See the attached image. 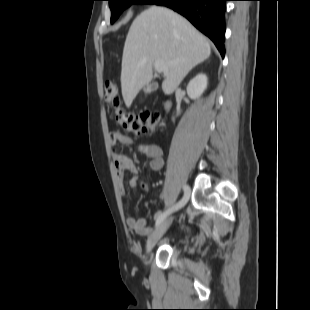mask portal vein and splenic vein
<instances>
[{"mask_svg":"<svg viewBox=\"0 0 310 310\" xmlns=\"http://www.w3.org/2000/svg\"><path fill=\"white\" fill-rule=\"evenodd\" d=\"M155 70L159 73H165L168 70V65L164 61H156L154 63Z\"/></svg>","mask_w":310,"mask_h":310,"instance_id":"1","label":"portal vein and splenic vein"}]
</instances>
